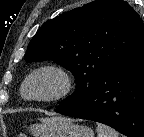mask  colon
<instances>
[{"instance_id":"1","label":"colon","mask_w":144,"mask_h":137,"mask_svg":"<svg viewBox=\"0 0 144 137\" xmlns=\"http://www.w3.org/2000/svg\"><path fill=\"white\" fill-rule=\"evenodd\" d=\"M19 137H26L25 135H20Z\"/></svg>"}]
</instances>
